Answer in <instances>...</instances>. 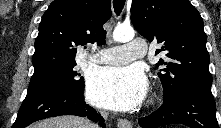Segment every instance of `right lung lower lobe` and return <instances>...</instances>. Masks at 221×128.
Wrapping results in <instances>:
<instances>
[{"mask_svg":"<svg viewBox=\"0 0 221 128\" xmlns=\"http://www.w3.org/2000/svg\"><path fill=\"white\" fill-rule=\"evenodd\" d=\"M68 114L99 121L105 127L101 115L85 103L83 91L58 85L27 93L12 127L25 128L41 119Z\"/></svg>","mask_w":221,"mask_h":128,"instance_id":"obj_1","label":"right lung lower lobe"}]
</instances>
